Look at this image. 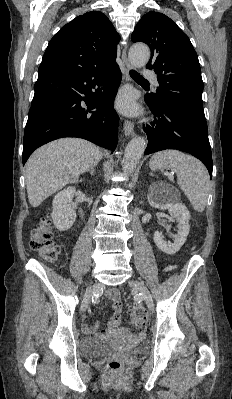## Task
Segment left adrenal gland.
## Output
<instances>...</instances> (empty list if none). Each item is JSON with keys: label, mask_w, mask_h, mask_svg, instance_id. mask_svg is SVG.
I'll use <instances>...</instances> for the list:
<instances>
[{"label": "left adrenal gland", "mask_w": 232, "mask_h": 399, "mask_svg": "<svg viewBox=\"0 0 232 399\" xmlns=\"http://www.w3.org/2000/svg\"><path fill=\"white\" fill-rule=\"evenodd\" d=\"M150 176H153L152 172H151Z\"/></svg>", "instance_id": "left-adrenal-gland-1"}]
</instances>
